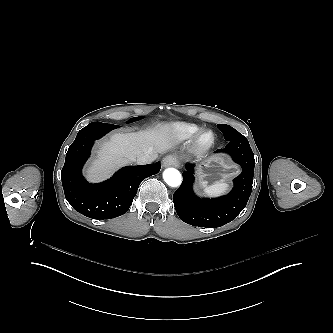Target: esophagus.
Listing matches in <instances>:
<instances>
[{"instance_id":"1","label":"esophagus","mask_w":333,"mask_h":333,"mask_svg":"<svg viewBox=\"0 0 333 333\" xmlns=\"http://www.w3.org/2000/svg\"><path fill=\"white\" fill-rule=\"evenodd\" d=\"M162 164L164 167H169V166H180V161L175 155H167L163 158Z\"/></svg>"}]
</instances>
